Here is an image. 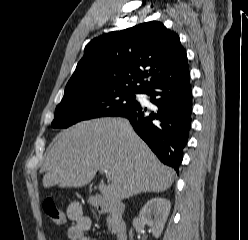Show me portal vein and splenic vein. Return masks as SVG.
Masks as SVG:
<instances>
[{
    "instance_id": "portal-vein-and-splenic-vein-1",
    "label": "portal vein and splenic vein",
    "mask_w": 248,
    "mask_h": 240,
    "mask_svg": "<svg viewBox=\"0 0 248 240\" xmlns=\"http://www.w3.org/2000/svg\"><path fill=\"white\" fill-rule=\"evenodd\" d=\"M104 173L106 174V176H109L110 175V173H109L108 170H104Z\"/></svg>"
}]
</instances>
